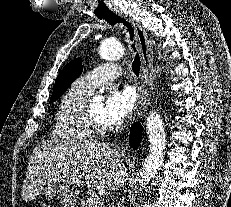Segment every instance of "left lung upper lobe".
Masks as SVG:
<instances>
[{
	"mask_svg": "<svg viewBox=\"0 0 231 207\" xmlns=\"http://www.w3.org/2000/svg\"><path fill=\"white\" fill-rule=\"evenodd\" d=\"M82 72V60L80 58L74 59L69 62L63 70L59 73L53 93L50 98V103L55 102L63 92L71 85V83L81 74Z\"/></svg>",
	"mask_w": 231,
	"mask_h": 207,
	"instance_id": "5c2ea615",
	"label": "left lung upper lobe"
}]
</instances>
